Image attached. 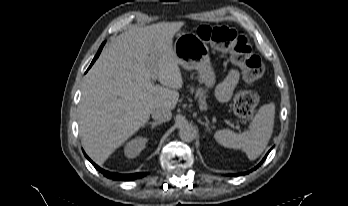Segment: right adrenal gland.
<instances>
[{"label": "right adrenal gland", "instance_id": "obj_1", "mask_svg": "<svg viewBox=\"0 0 348 206\" xmlns=\"http://www.w3.org/2000/svg\"><path fill=\"white\" fill-rule=\"evenodd\" d=\"M147 124L151 125V129H154L155 126L160 125V122L154 121V122H148Z\"/></svg>", "mask_w": 348, "mask_h": 206}]
</instances>
